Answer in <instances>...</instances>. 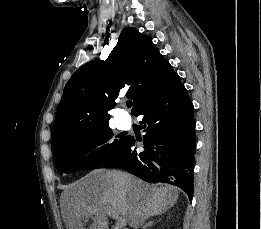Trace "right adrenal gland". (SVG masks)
I'll return each mask as SVG.
<instances>
[{
  "label": "right adrenal gland",
  "mask_w": 261,
  "mask_h": 229,
  "mask_svg": "<svg viewBox=\"0 0 261 229\" xmlns=\"http://www.w3.org/2000/svg\"><path fill=\"white\" fill-rule=\"evenodd\" d=\"M152 223H154V221H150V223H146V225H144L142 229H147V227H151Z\"/></svg>",
  "instance_id": "obj_1"
}]
</instances>
